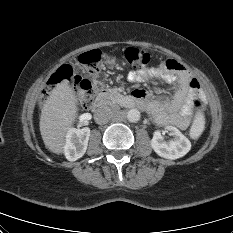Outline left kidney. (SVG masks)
<instances>
[{
  "instance_id": "5707ae66",
  "label": "left kidney",
  "mask_w": 233,
  "mask_h": 233,
  "mask_svg": "<svg viewBox=\"0 0 233 233\" xmlns=\"http://www.w3.org/2000/svg\"><path fill=\"white\" fill-rule=\"evenodd\" d=\"M173 138L165 141L160 131H155L151 147L160 157L175 160L185 156L191 149V142L176 127L167 126Z\"/></svg>"
}]
</instances>
